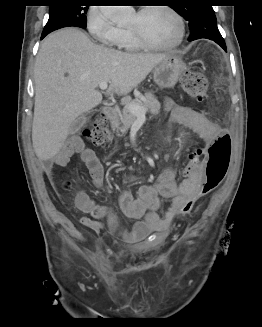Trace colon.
Returning a JSON list of instances; mask_svg holds the SVG:
<instances>
[{
	"label": "colon",
	"instance_id": "5ec220e1",
	"mask_svg": "<svg viewBox=\"0 0 262 327\" xmlns=\"http://www.w3.org/2000/svg\"><path fill=\"white\" fill-rule=\"evenodd\" d=\"M180 86L183 91L196 101H204L207 98L208 81L199 72H186L181 80ZM84 137L94 145H105L112 137L108 116L99 113L91 128L85 130ZM231 138L223 131L214 142L205 150L203 160L205 163V178L199 190L189 196L180 209V213H189L194 205L204 196L216 189L223 181L230 163Z\"/></svg>",
	"mask_w": 262,
	"mask_h": 327
}]
</instances>
